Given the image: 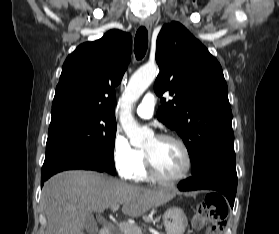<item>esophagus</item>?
Listing matches in <instances>:
<instances>
[{
	"label": "esophagus",
	"mask_w": 279,
	"mask_h": 234,
	"mask_svg": "<svg viewBox=\"0 0 279 234\" xmlns=\"http://www.w3.org/2000/svg\"><path fill=\"white\" fill-rule=\"evenodd\" d=\"M141 25H143L144 27H146V29L148 31H151L152 29V21L148 18V19H145L141 22Z\"/></svg>",
	"instance_id": "1"
}]
</instances>
